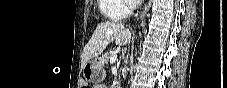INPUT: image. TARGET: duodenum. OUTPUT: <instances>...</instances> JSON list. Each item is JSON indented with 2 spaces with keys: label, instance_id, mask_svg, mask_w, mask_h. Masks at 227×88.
<instances>
[{
  "label": "duodenum",
  "instance_id": "410a0bca",
  "mask_svg": "<svg viewBox=\"0 0 227 88\" xmlns=\"http://www.w3.org/2000/svg\"><path fill=\"white\" fill-rule=\"evenodd\" d=\"M114 88H120V86L116 85V86H114Z\"/></svg>",
  "mask_w": 227,
  "mask_h": 88
}]
</instances>
